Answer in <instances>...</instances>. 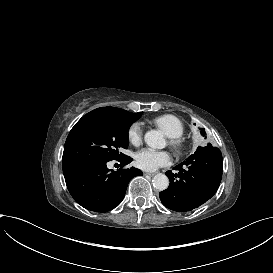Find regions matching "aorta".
Segmentation results:
<instances>
[{
  "mask_svg": "<svg viewBox=\"0 0 273 273\" xmlns=\"http://www.w3.org/2000/svg\"><path fill=\"white\" fill-rule=\"evenodd\" d=\"M145 143L155 149H162L166 146L163 134L158 130H149L144 136ZM153 187L159 191H164L169 186V179L165 174L158 173L153 177Z\"/></svg>",
  "mask_w": 273,
  "mask_h": 273,
  "instance_id": "1",
  "label": "aorta"
}]
</instances>
